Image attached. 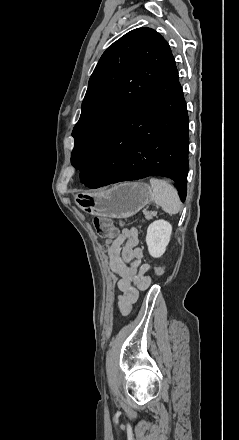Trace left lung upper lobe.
<instances>
[{"label":"left lung upper lobe","instance_id":"5c2ea615","mask_svg":"<svg viewBox=\"0 0 239 440\" xmlns=\"http://www.w3.org/2000/svg\"><path fill=\"white\" fill-rule=\"evenodd\" d=\"M172 56L151 28L134 29L101 56L90 77L82 112L73 129L72 165L81 171L110 131L129 113Z\"/></svg>","mask_w":239,"mask_h":440}]
</instances>
